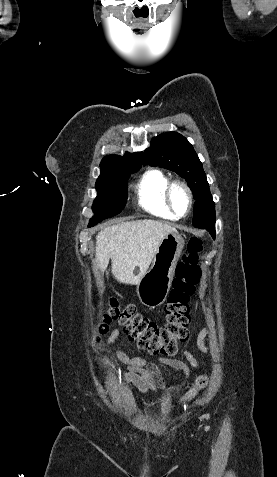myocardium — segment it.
<instances>
[{"mask_svg": "<svg viewBox=\"0 0 277 477\" xmlns=\"http://www.w3.org/2000/svg\"><path fill=\"white\" fill-rule=\"evenodd\" d=\"M176 187H181L182 189H184V191L186 192L187 197H188V209H187L186 213H184V214H179L176 211V209L174 207V204H173V201H172V193H173V190ZM165 201H166V204H167L168 208L170 209V211L174 215H176L178 218H182V217L187 216L191 212V210L193 208V204H194V198H193L192 190L189 187V185L185 181H182V180H173V181H170L168 183V185L166 186V189H165Z\"/></svg>", "mask_w": 277, "mask_h": 477, "instance_id": "1", "label": "myocardium"}]
</instances>
